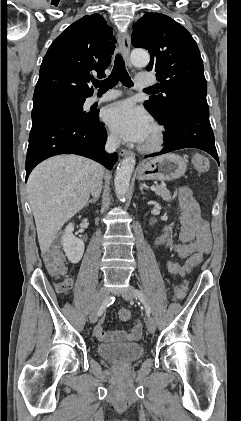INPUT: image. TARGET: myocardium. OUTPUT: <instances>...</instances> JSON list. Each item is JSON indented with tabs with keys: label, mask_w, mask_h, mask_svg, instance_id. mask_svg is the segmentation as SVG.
Here are the masks:
<instances>
[{
	"label": "myocardium",
	"mask_w": 241,
	"mask_h": 421,
	"mask_svg": "<svg viewBox=\"0 0 241 421\" xmlns=\"http://www.w3.org/2000/svg\"><path fill=\"white\" fill-rule=\"evenodd\" d=\"M164 139V128L161 125L154 123L151 127L150 138L141 145L140 149L144 152H155L162 147Z\"/></svg>",
	"instance_id": "1"
}]
</instances>
